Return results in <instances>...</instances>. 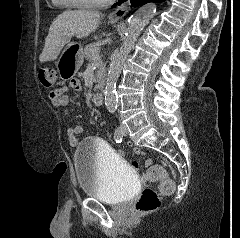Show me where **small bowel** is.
I'll list each match as a JSON object with an SVG mask.
<instances>
[{
  "label": "small bowel",
  "instance_id": "small-bowel-1",
  "mask_svg": "<svg viewBox=\"0 0 240 238\" xmlns=\"http://www.w3.org/2000/svg\"><path fill=\"white\" fill-rule=\"evenodd\" d=\"M71 88H73L76 91L81 90V85L78 80H72L70 83ZM69 91V86L68 85H62L59 88L53 90L49 94V98L53 106L57 108H63L66 107L69 104V98L67 96V92ZM82 133V127L80 125H75L72 127H69L67 129V139L70 144V146L75 147L78 145V136ZM138 143H130L129 147L130 148H135V156H142L144 155V152L140 149H138ZM118 154H125L126 150L125 149H118ZM151 160L148 159L145 162L146 166H149L151 164ZM132 167L133 169H138L140 167V159H132ZM146 187H153V182H146Z\"/></svg>",
  "mask_w": 240,
  "mask_h": 238
}]
</instances>
